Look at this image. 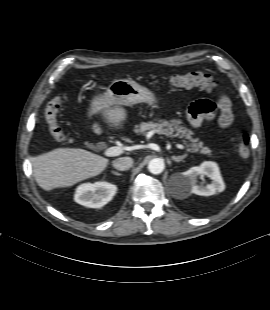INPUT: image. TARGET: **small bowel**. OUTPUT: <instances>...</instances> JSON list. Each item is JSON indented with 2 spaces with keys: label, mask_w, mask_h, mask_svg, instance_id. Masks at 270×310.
Wrapping results in <instances>:
<instances>
[{
  "label": "small bowel",
  "mask_w": 270,
  "mask_h": 310,
  "mask_svg": "<svg viewBox=\"0 0 270 310\" xmlns=\"http://www.w3.org/2000/svg\"><path fill=\"white\" fill-rule=\"evenodd\" d=\"M198 101V100H197ZM218 108L220 110V115L218 117V124L221 128L229 127L233 122V114L231 111V104L227 96H221L218 100ZM211 116V114H202L194 106L188 111V121L192 126H199L201 122Z\"/></svg>",
  "instance_id": "1"
}]
</instances>
